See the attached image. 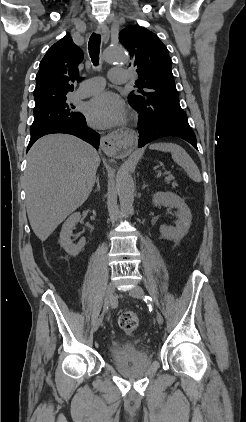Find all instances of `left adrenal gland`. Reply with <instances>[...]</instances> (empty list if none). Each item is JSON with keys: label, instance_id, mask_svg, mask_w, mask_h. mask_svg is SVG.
I'll return each instance as SVG.
<instances>
[{"label": "left adrenal gland", "instance_id": "obj_1", "mask_svg": "<svg viewBox=\"0 0 246 422\" xmlns=\"http://www.w3.org/2000/svg\"><path fill=\"white\" fill-rule=\"evenodd\" d=\"M147 185L145 184V181L143 182L142 190L145 189Z\"/></svg>", "mask_w": 246, "mask_h": 422}]
</instances>
